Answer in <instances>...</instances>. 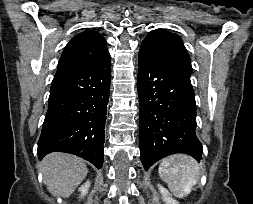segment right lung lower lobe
I'll list each match as a JSON object with an SVG mask.
<instances>
[{
	"label": "right lung lower lobe",
	"mask_w": 253,
	"mask_h": 204,
	"mask_svg": "<svg viewBox=\"0 0 253 204\" xmlns=\"http://www.w3.org/2000/svg\"><path fill=\"white\" fill-rule=\"evenodd\" d=\"M110 68V55L106 53L91 63L54 77L38 141L40 159L50 152L60 151L102 167Z\"/></svg>",
	"instance_id": "98d812e1"
}]
</instances>
